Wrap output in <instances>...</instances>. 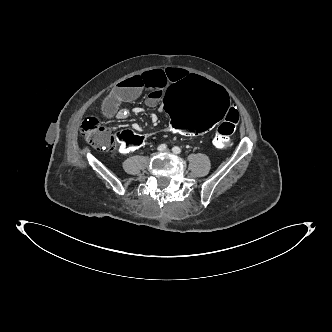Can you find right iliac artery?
Segmentation results:
<instances>
[{
  "instance_id": "82829eb1",
  "label": "right iliac artery",
  "mask_w": 332,
  "mask_h": 332,
  "mask_svg": "<svg viewBox=\"0 0 332 332\" xmlns=\"http://www.w3.org/2000/svg\"><path fill=\"white\" fill-rule=\"evenodd\" d=\"M166 148H167V145H166V144H161V145L158 146L157 149H158L159 151H164Z\"/></svg>"
}]
</instances>
